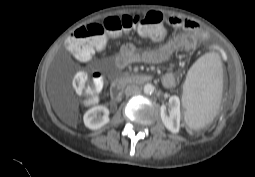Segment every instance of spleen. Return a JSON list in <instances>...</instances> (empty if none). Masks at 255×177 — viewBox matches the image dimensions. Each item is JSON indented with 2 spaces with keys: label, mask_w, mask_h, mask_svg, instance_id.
<instances>
[{
  "label": "spleen",
  "mask_w": 255,
  "mask_h": 177,
  "mask_svg": "<svg viewBox=\"0 0 255 177\" xmlns=\"http://www.w3.org/2000/svg\"><path fill=\"white\" fill-rule=\"evenodd\" d=\"M222 78V62L215 52L204 54L189 69L182 103L190 128L200 129L214 120L222 97Z\"/></svg>",
  "instance_id": "obj_1"
}]
</instances>
